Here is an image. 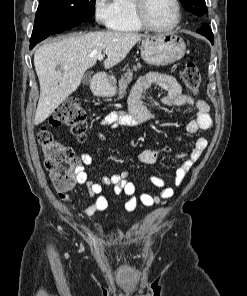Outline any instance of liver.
Returning <instances> with one entry per match:
<instances>
[{
    "instance_id": "1",
    "label": "liver",
    "mask_w": 247,
    "mask_h": 296,
    "mask_svg": "<svg viewBox=\"0 0 247 296\" xmlns=\"http://www.w3.org/2000/svg\"><path fill=\"white\" fill-rule=\"evenodd\" d=\"M145 37L136 33L97 31L73 35L42 45L35 51L34 66L40 84L35 125L44 122L79 87L84 73L105 52L104 67L120 63Z\"/></svg>"
}]
</instances>
